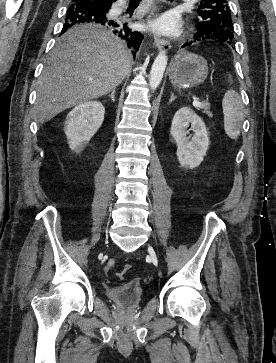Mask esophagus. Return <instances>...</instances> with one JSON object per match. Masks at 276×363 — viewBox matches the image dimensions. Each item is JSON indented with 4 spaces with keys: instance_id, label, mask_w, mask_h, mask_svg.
Here are the masks:
<instances>
[{
    "instance_id": "obj_1",
    "label": "esophagus",
    "mask_w": 276,
    "mask_h": 363,
    "mask_svg": "<svg viewBox=\"0 0 276 363\" xmlns=\"http://www.w3.org/2000/svg\"><path fill=\"white\" fill-rule=\"evenodd\" d=\"M147 1L150 2L151 0H147ZM154 42H155L156 47L159 50L168 51L171 48L170 42L158 34L154 35Z\"/></svg>"
}]
</instances>
